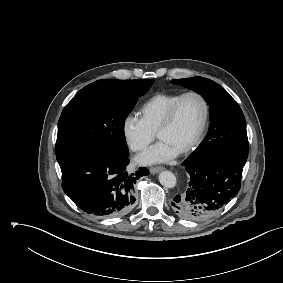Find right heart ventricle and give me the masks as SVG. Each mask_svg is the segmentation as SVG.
Instances as JSON below:
<instances>
[{
    "instance_id": "1",
    "label": "right heart ventricle",
    "mask_w": 283,
    "mask_h": 283,
    "mask_svg": "<svg viewBox=\"0 0 283 283\" xmlns=\"http://www.w3.org/2000/svg\"><path fill=\"white\" fill-rule=\"evenodd\" d=\"M182 93H157L149 98L140 108L141 119L148 129L156 133L169 108Z\"/></svg>"
}]
</instances>
